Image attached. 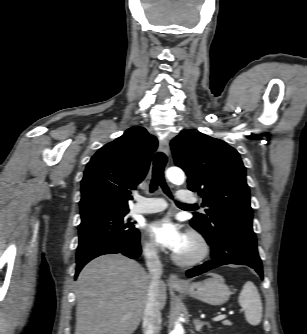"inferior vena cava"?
Wrapping results in <instances>:
<instances>
[{"label": "inferior vena cava", "instance_id": "inferior-vena-cava-1", "mask_svg": "<svg viewBox=\"0 0 307 334\" xmlns=\"http://www.w3.org/2000/svg\"><path fill=\"white\" fill-rule=\"evenodd\" d=\"M145 258L149 270L150 284L143 314V330L144 334H154L160 330L162 322L158 300L162 264L159 260L158 251L155 246L146 247Z\"/></svg>", "mask_w": 307, "mask_h": 334}]
</instances>
